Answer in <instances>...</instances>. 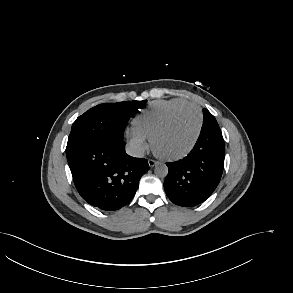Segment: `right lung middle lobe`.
Returning a JSON list of instances; mask_svg holds the SVG:
<instances>
[{
	"instance_id": "right-lung-middle-lobe-1",
	"label": "right lung middle lobe",
	"mask_w": 293,
	"mask_h": 293,
	"mask_svg": "<svg viewBox=\"0 0 293 293\" xmlns=\"http://www.w3.org/2000/svg\"><path fill=\"white\" fill-rule=\"evenodd\" d=\"M146 102L147 100L104 103L89 109L73 123L66 154L103 137L123 138L128 120Z\"/></svg>"
}]
</instances>
